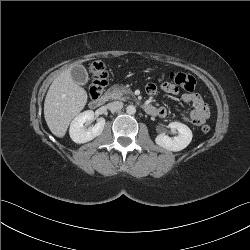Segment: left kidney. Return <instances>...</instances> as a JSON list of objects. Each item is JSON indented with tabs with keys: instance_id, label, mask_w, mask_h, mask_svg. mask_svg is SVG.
Returning <instances> with one entry per match:
<instances>
[{
	"instance_id": "5707ae66",
	"label": "left kidney",
	"mask_w": 250,
	"mask_h": 250,
	"mask_svg": "<svg viewBox=\"0 0 250 250\" xmlns=\"http://www.w3.org/2000/svg\"><path fill=\"white\" fill-rule=\"evenodd\" d=\"M169 127L171 129H176L178 131V135L169 137L164 133H161L155 138L156 144L166 150L174 152L185 149L190 144L193 136L190 128L180 122H171Z\"/></svg>"
}]
</instances>
